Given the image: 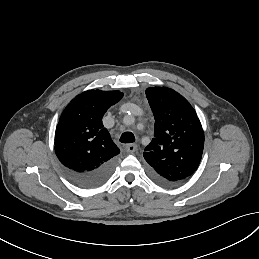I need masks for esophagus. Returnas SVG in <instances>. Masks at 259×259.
<instances>
[{"label": "esophagus", "instance_id": "esophagus-1", "mask_svg": "<svg viewBox=\"0 0 259 259\" xmlns=\"http://www.w3.org/2000/svg\"><path fill=\"white\" fill-rule=\"evenodd\" d=\"M125 150L128 153H134L138 150V146H137V144H134V143L128 144V145L125 146Z\"/></svg>", "mask_w": 259, "mask_h": 259}]
</instances>
